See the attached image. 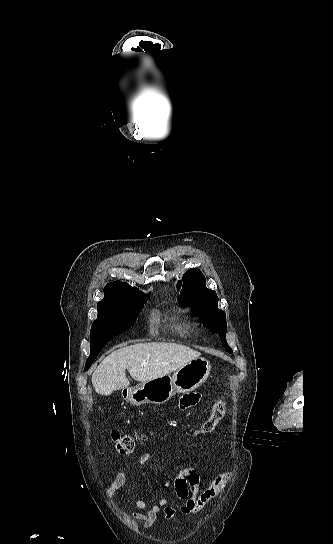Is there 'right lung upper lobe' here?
Wrapping results in <instances>:
<instances>
[{"label": "right lung upper lobe", "instance_id": "cb5924a9", "mask_svg": "<svg viewBox=\"0 0 333 544\" xmlns=\"http://www.w3.org/2000/svg\"><path fill=\"white\" fill-rule=\"evenodd\" d=\"M136 287H131L127 283L115 281L108 283L104 288V298L99 302H108L114 300L130 299L142 295Z\"/></svg>", "mask_w": 333, "mask_h": 544}]
</instances>
